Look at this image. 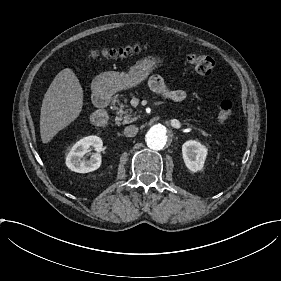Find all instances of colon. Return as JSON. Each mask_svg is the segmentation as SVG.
I'll list each match as a JSON object with an SVG mask.
<instances>
[{
    "label": "colon",
    "mask_w": 281,
    "mask_h": 281,
    "mask_svg": "<svg viewBox=\"0 0 281 281\" xmlns=\"http://www.w3.org/2000/svg\"><path fill=\"white\" fill-rule=\"evenodd\" d=\"M151 51V47L145 43H134L121 47L103 46L90 50V57L95 61L102 60H132L146 55ZM187 62L193 66L200 74L210 75L214 71V62L206 54L191 52L185 55ZM178 58H181L178 55ZM233 114V103L230 100L221 101L216 109V122L219 126L225 125Z\"/></svg>",
    "instance_id": "obj_1"
}]
</instances>
